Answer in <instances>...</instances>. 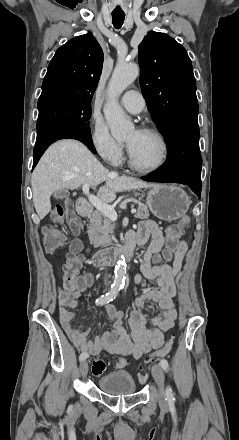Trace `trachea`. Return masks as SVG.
<instances>
[{
    "label": "trachea",
    "mask_w": 239,
    "mask_h": 440,
    "mask_svg": "<svg viewBox=\"0 0 239 440\" xmlns=\"http://www.w3.org/2000/svg\"><path fill=\"white\" fill-rule=\"evenodd\" d=\"M124 18H125V13H121V12L112 13V22L116 29H119L122 26L124 22Z\"/></svg>",
    "instance_id": "1"
}]
</instances>
